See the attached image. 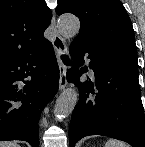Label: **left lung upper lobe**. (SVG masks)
<instances>
[{
	"mask_svg": "<svg viewBox=\"0 0 145 147\" xmlns=\"http://www.w3.org/2000/svg\"><path fill=\"white\" fill-rule=\"evenodd\" d=\"M67 12L80 19V31L73 42L136 53L133 26L120 0H58L56 13Z\"/></svg>",
	"mask_w": 145,
	"mask_h": 147,
	"instance_id": "1",
	"label": "left lung upper lobe"
}]
</instances>
